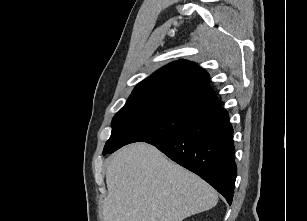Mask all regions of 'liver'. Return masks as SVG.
Returning <instances> with one entry per match:
<instances>
[{
  "label": "liver",
  "instance_id": "liver-1",
  "mask_svg": "<svg viewBox=\"0 0 307 221\" xmlns=\"http://www.w3.org/2000/svg\"><path fill=\"white\" fill-rule=\"evenodd\" d=\"M107 164L104 221H183L218 202L209 184L150 144L128 145Z\"/></svg>",
  "mask_w": 307,
  "mask_h": 221
}]
</instances>
